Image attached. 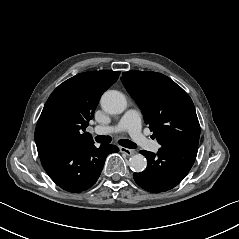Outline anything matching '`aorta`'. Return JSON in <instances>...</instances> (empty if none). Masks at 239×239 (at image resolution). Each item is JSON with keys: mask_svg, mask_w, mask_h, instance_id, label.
Instances as JSON below:
<instances>
[{"mask_svg": "<svg viewBox=\"0 0 239 239\" xmlns=\"http://www.w3.org/2000/svg\"><path fill=\"white\" fill-rule=\"evenodd\" d=\"M101 107L109 114H120L127 107L125 95L117 90L106 91L100 100ZM130 168L132 171L140 173L147 167V161L141 154L131 156Z\"/></svg>", "mask_w": 239, "mask_h": 239, "instance_id": "obj_1", "label": "aorta"}]
</instances>
